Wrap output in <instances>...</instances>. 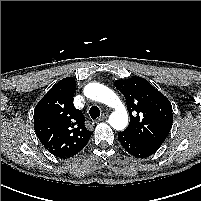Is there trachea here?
<instances>
[{
	"label": "trachea",
	"mask_w": 201,
	"mask_h": 201,
	"mask_svg": "<svg viewBox=\"0 0 201 201\" xmlns=\"http://www.w3.org/2000/svg\"><path fill=\"white\" fill-rule=\"evenodd\" d=\"M89 114L93 120L100 116V110L97 106H92L89 110Z\"/></svg>",
	"instance_id": "trachea-1"
}]
</instances>
